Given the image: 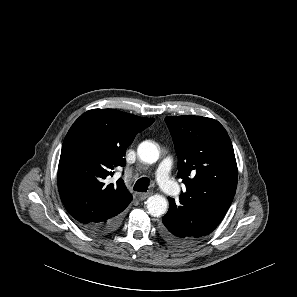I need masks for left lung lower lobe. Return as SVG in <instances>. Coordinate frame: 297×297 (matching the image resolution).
Listing matches in <instances>:
<instances>
[{
    "label": "left lung lower lobe",
    "mask_w": 297,
    "mask_h": 297,
    "mask_svg": "<svg viewBox=\"0 0 297 297\" xmlns=\"http://www.w3.org/2000/svg\"><path fill=\"white\" fill-rule=\"evenodd\" d=\"M169 210L163 217V226L161 233L163 237L171 244L186 246L195 242L192 237H189L183 227L184 216L179 210V206L175 203L174 199L169 198Z\"/></svg>",
    "instance_id": "obj_1"
}]
</instances>
